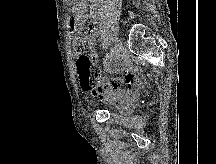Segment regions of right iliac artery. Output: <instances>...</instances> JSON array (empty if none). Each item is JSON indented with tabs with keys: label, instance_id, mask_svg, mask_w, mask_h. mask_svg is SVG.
<instances>
[{
	"label": "right iliac artery",
	"instance_id": "82829eb1",
	"mask_svg": "<svg viewBox=\"0 0 216 164\" xmlns=\"http://www.w3.org/2000/svg\"><path fill=\"white\" fill-rule=\"evenodd\" d=\"M109 58L113 59L114 58V48H111L110 52H109Z\"/></svg>",
	"mask_w": 216,
	"mask_h": 164
}]
</instances>
